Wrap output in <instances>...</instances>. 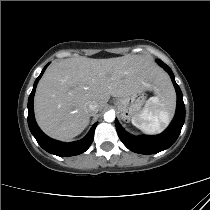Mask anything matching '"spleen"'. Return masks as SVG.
<instances>
[{"label":"spleen","instance_id":"1","mask_svg":"<svg viewBox=\"0 0 210 210\" xmlns=\"http://www.w3.org/2000/svg\"><path fill=\"white\" fill-rule=\"evenodd\" d=\"M172 102L173 97L166 93L151 97L144 109L132 118V124L147 134L161 133L170 121L169 109Z\"/></svg>","mask_w":210,"mask_h":210}]
</instances>
